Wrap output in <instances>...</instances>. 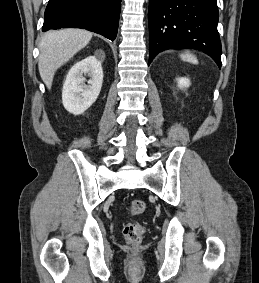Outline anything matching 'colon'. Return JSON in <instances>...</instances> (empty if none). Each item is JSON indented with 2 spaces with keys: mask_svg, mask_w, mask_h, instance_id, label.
Returning <instances> with one entry per match:
<instances>
[{
  "mask_svg": "<svg viewBox=\"0 0 259 283\" xmlns=\"http://www.w3.org/2000/svg\"><path fill=\"white\" fill-rule=\"evenodd\" d=\"M145 209L146 205L143 200L134 199L130 202L129 211L132 215H140ZM123 234L128 244L138 245L144 237L145 227L139 222L130 223L124 227Z\"/></svg>",
  "mask_w": 259,
  "mask_h": 283,
  "instance_id": "5ec220e1",
  "label": "colon"
}]
</instances>
